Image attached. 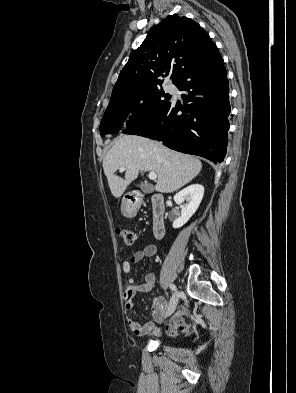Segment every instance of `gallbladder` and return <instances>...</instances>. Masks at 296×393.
<instances>
[{
	"label": "gallbladder",
	"instance_id": "obj_1",
	"mask_svg": "<svg viewBox=\"0 0 296 393\" xmlns=\"http://www.w3.org/2000/svg\"><path fill=\"white\" fill-rule=\"evenodd\" d=\"M139 187L144 193H151L153 191V187L148 184H140Z\"/></svg>",
	"mask_w": 296,
	"mask_h": 393
}]
</instances>
